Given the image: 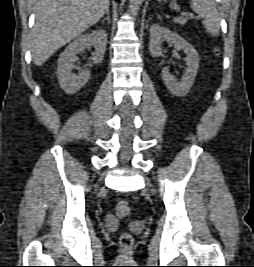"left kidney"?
Returning <instances> with one entry per match:
<instances>
[{
  "label": "left kidney",
  "mask_w": 254,
  "mask_h": 267,
  "mask_svg": "<svg viewBox=\"0 0 254 267\" xmlns=\"http://www.w3.org/2000/svg\"><path fill=\"white\" fill-rule=\"evenodd\" d=\"M167 41L174 45L176 49H182L187 55L185 58L186 69L184 76L180 81L170 74L168 68L162 70V79L168 90L175 96L183 97L191 89L199 68V55L195 48L190 45L176 32H173L160 24H153L150 27V46L149 50L153 57H159L162 54V43Z\"/></svg>",
  "instance_id": "left-kidney-1"
}]
</instances>
